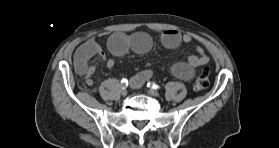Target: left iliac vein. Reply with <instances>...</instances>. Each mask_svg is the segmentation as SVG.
<instances>
[{
    "label": "left iliac vein",
    "instance_id": "left-iliac-vein-1",
    "mask_svg": "<svg viewBox=\"0 0 279 148\" xmlns=\"http://www.w3.org/2000/svg\"><path fill=\"white\" fill-rule=\"evenodd\" d=\"M148 94H150L151 96H154V97H159V93L154 89L148 90Z\"/></svg>",
    "mask_w": 279,
    "mask_h": 148
}]
</instances>
